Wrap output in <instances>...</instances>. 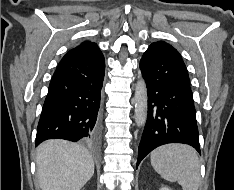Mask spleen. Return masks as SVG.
Listing matches in <instances>:
<instances>
[{
  "label": "spleen",
  "instance_id": "obj_1",
  "mask_svg": "<svg viewBox=\"0 0 234 190\" xmlns=\"http://www.w3.org/2000/svg\"><path fill=\"white\" fill-rule=\"evenodd\" d=\"M151 165L165 180L178 182L183 190H198L200 163L197 152L189 145L168 144L150 155Z\"/></svg>",
  "mask_w": 234,
  "mask_h": 190
}]
</instances>
